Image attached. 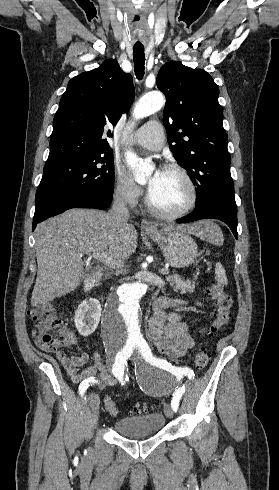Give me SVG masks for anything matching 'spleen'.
<instances>
[{"label": "spleen", "instance_id": "spleen-1", "mask_svg": "<svg viewBox=\"0 0 279 490\" xmlns=\"http://www.w3.org/2000/svg\"><path fill=\"white\" fill-rule=\"evenodd\" d=\"M201 238L203 240H207L210 244H215V246H222L223 244V234L221 228L214 224V222H210V220H204L203 228L201 232ZM215 280L219 282V284H223V286H227V278L225 274V270L222 264H216L215 268Z\"/></svg>", "mask_w": 279, "mask_h": 490}]
</instances>
